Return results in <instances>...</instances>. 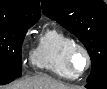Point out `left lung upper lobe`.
<instances>
[{"instance_id":"obj_1","label":"left lung upper lobe","mask_w":107,"mask_h":89,"mask_svg":"<svg viewBox=\"0 0 107 89\" xmlns=\"http://www.w3.org/2000/svg\"><path fill=\"white\" fill-rule=\"evenodd\" d=\"M43 13L76 35L92 61L87 83L107 75V6L102 0H42Z\"/></svg>"}]
</instances>
